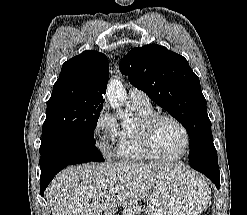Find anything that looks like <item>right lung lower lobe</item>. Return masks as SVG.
Masks as SVG:
<instances>
[{
  "label": "right lung lower lobe",
  "instance_id": "right-lung-lower-lobe-1",
  "mask_svg": "<svg viewBox=\"0 0 247 215\" xmlns=\"http://www.w3.org/2000/svg\"><path fill=\"white\" fill-rule=\"evenodd\" d=\"M95 143L76 136H56L41 143L40 152V194L65 166L90 161L103 162Z\"/></svg>",
  "mask_w": 247,
  "mask_h": 215
}]
</instances>
